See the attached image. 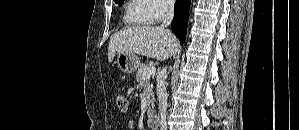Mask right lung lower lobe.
I'll use <instances>...</instances> for the list:
<instances>
[{
	"label": "right lung lower lobe",
	"instance_id": "1",
	"mask_svg": "<svg viewBox=\"0 0 299 130\" xmlns=\"http://www.w3.org/2000/svg\"><path fill=\"white\" fill-rule=\"evenodd\" d=\"M190 2V0H177L174 7V19L171 28L181 44L184 43L186 37Z\"/></svg>",
	"mask_w": 299,
	"mask_h": 130
}]
</instances>
